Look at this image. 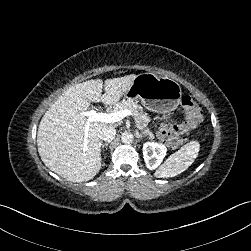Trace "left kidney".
<instances>
[{
	"label": "left kidney",
	"mask_w": 251,
	"mask_h": 251,
	"mask_svg": "<svg viewBox=\"0 0 251 251\" xmlns=\"http://www.w3.org/2000/svg\"><path fill=\"white\" fill-rule=\"evenodd\" d=\"M166 147L156 142H146L143 145V158L149 170H155L166 155Z\"/></svg>",
	"instance_id": "5707ae66"
}]
</instances>
